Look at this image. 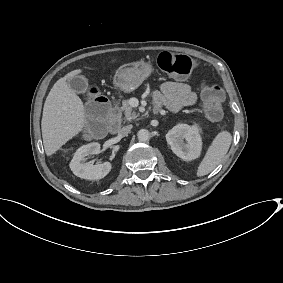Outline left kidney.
<instances>
[{
	"label": "left kidney",
	"instance_id": "obj_1",
	"mask_svg": "<svg viewBox=\"0 0 283 283\" xmlns=\"http://www.w3.org/2000/svg\"><path fill=\"white\" fill-rule=\"evenodd\" d=\"M199 131L200 128L197 124L192 126L178 124L168 131L166 140L178 157L185 161H191L201 154L202 139ZM184 139L186 142H184Z\"/></svg>",
	"mask_w": 283,
	"mask_h": 283
}]
</instances>
